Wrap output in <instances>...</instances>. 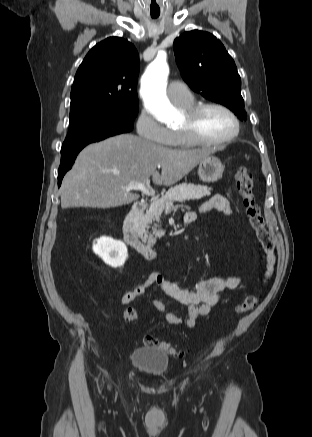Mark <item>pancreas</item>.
Instances as JSON below:
<instances>
[{
    "mask_svg": "<svg viewBox=\"0 0 312 437\" xmlns=\"http://www.w3.org/2000/svg\"><path fill=\"white\" fill-rule=\"evenodd\" d=\"M211 188L202 185H194L182 183L170 188L164 196L151 201L146 213L142 216L140 222L139 236L145 242L147 241L150 246L156 243L157 238L164 236L165 232L163 230H158V225L160 222V216L167 206L173 203L185 202L189 200H198L204 196H209L211 194ZM152 226L153 233H149L150 225ZM154 235V237H153Z\"/></svg>",
    "mask_w": 312,
    "mask_h": 437,
    "instance_id": "obj_1",
    "label": "pancreas"
}]
</instances>
